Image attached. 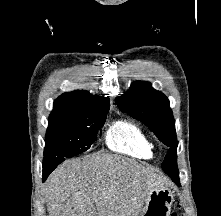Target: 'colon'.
Instances as JSON below:
<instances>
[{"mask_svg":"<svg viewBox=\"0 0 221 216\" xmlns=\"http://www.w3.org/2000/svg\"><path fill=\"white\" fill-rule=\"evenodd\" d=\"M171 216H177L175 213H173Z\"/></svg>","mask_w":221,"mask_h":216,"instance_id":"colon-1","label":"colon"}]
</instances>
